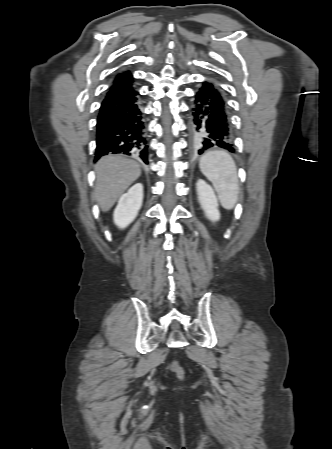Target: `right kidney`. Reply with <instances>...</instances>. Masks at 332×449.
I'll use <instances>...</instances> for the list:
<instances>
[{"mask_svg": "<svg viewBox=\"0 0 332 449\" xmlns=\"http://www.w3.org/2000/svg\"><path fill=\"white\" fill-rule=\"evenodd\" d=\"M143 202V185L137 183L123 194L113 214L114 223L121 229L126 228L137 217Z\"/></svg>", "mask_w": 332, "mask_h": 449, "instance_id": "obj_1", "label": "right kidney"}]
</instances>
